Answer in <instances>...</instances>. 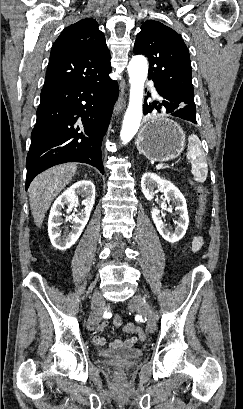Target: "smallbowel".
I'll return each instance as SVG.
<instances>
[{
	"instance_id": "small-bowel-1",
	"label": "small bowel",
	"mask_w": 243,
	"mask_h": 409,
	"mask_svg": "<svg viewBox=\"0 0 243 409\" xmlns=\"http://www.w3.org/2000/svg\"><path fill=\"white\" fill-rule=\"evenodd\" d=\"M204 245V239L201 236L196 237V239L192 242V250L193 252H198ZM108 325L107 321H104L103 323H101L100 327H99V333L95 334L93 337V342L98 345V346H103L106 343L105 338L100 334L102 333L106 327ZM138 340H141L139 338V336L133 335L131 337H129L128 339L122 341V340H116L114 341L111 346L112 347H126V348H130L132 346H134Z\"/></svg>"
}]
</instances>
